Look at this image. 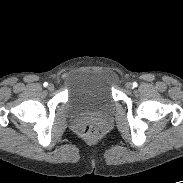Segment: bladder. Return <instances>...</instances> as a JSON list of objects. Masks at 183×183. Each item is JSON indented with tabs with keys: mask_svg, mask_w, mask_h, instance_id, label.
<instances>
[{
	"mask_svg": "<svg viewBox=\"0 0 183 183\" xmlns=\"http://www.w3.org/2000/svg\"><path fill=\"white\" fill-rule=\"evenodd\" d=\"M66 105L72 116L111 112L115 100L109 73L99 68L84 69L76 73L68 89Z\"/></svg>",
	"mask_w": 183,
	"mask_h": 183,
	"instance_id": "obj_1",
	"label": "bladder"
}]
</instances>
